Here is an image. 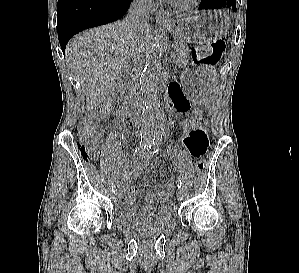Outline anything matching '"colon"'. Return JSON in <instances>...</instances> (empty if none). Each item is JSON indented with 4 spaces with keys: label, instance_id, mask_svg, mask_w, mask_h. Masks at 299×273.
I'll return each mask as SVG.
<instances>
[{
    "label": "colon",
    "instance_id": "5ec220e1",
    "mask_svg": "<svg viewBox=\"0 0 299 273\" xmlns=\"http://www.w3.org/2000/svg\"><path fill=\"white\" fill-rule=\"evenodd\" d=\"M226 52V43L223 40L215 41L206 55H199L198 47H192V54L198 63L215 65L222 61ZM202 112L200 109L191 110L181 121L180 128L184 136L201 126ZM77 146L81 156L95 162L99 159L100 149L98 146V132L92 122L84 121L78 128ZM206 160L199 159L195 163V170L198 174L203 173L206 168ZM178 199V198H177Z\"/></svg>",
    "mask_w": 299,
    "mask_h": 273
}]
</instances>
